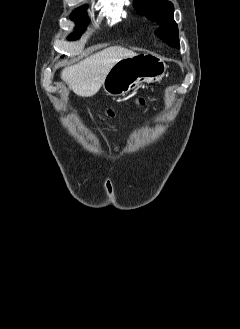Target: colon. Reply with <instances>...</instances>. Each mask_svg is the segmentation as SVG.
I'll list each match as a JSON object with an SVG mask.
<instances>
[{"instance_id": "5ec220e1", "label": "colon", "mask_w": 240, "mask_h": 329, "mask_svg": "<svg viewBox=\"0 0 240 329\" xmlns=\"http://www.w3.org/2000/svg\"><path fill=\"white\" fill-rule=\"evenodd\" d=\"M137 103H138L139 105H142V104L144 103V101H143L142 99H138V100H137ZM108 114H109L110 116H112V115H113V110H109V111H108Z\"/></svg>"}]
</instances>
